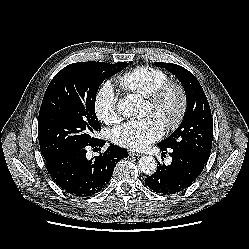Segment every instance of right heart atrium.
<instances>
[{"instance_id":"right-heart-atrium-1","label":"right heart atrium","mask_w":249,"mask_h":249,"mask_svg":"<svg viewBox=\"0 0 249 249\" xmlns=\"http://www.w3.org/2000/svg\"><path fill=\"white\" fill-rule=\"evenodd\" d=\"M94 112L105 124H115L119 121L118 96L110 82L103 83L96 92Z\"/></svg>"}]
</instances>
